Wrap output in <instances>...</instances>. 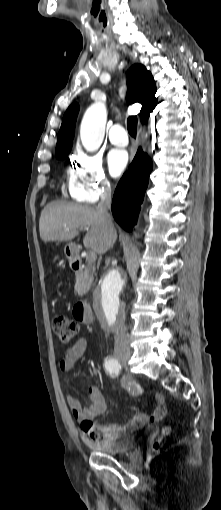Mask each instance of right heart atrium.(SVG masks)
<instances>
[{"label": "right heart atrium", "instance_id": "right-heart-atrium-1", "mask_svg": "<svg viewBox=\"0 0 221 510\" xmlns=\"http://www.w3.org/2000/svg\"><path fill=\"white\" fill-rule=\"evenodd\" d=\"M67 188L71 197L80 203H95L111 192V182L102 158L79 151L68 173Z\"/></svg>", "mask_w": 221, "mask_h": 510}]
</instances>
